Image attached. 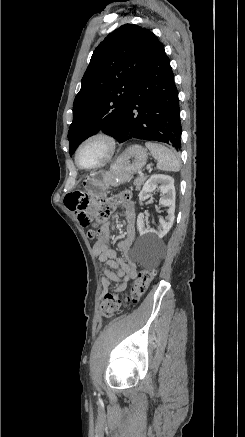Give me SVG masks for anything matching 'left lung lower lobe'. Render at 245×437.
<instances>
[{"label": "left lung lower lobe", "instance_id": "0a47b994", "mask_svg": "<svg viewBox=\"0 0 245 437\" xmlns=\"http://www.w3.org/2000/svg\"><path fill=\"white\" fill-rule=\"evenodd\" d=\"M181 133L178 91L170 60L160 43L133 86L118 141H159L179 151Z\"/></svg>", "mask_w": 245, "mask_h": 437}]
</instances>
